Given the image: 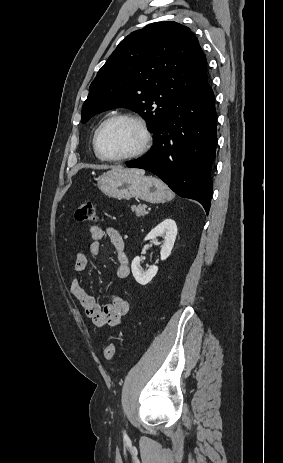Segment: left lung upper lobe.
<instances>
[{
    "label": "left lung upper lobe",
    "mask_w": 283,
    "mask_h": 463,
    "mask_svg": "<svg viewBox=\"0 0 283 463\" xmlns=\"http://www.w3.org/2000/svg\"><path fill=\"white\" fill-rule=\"evenodd\" d=\"M207 81L206 57L192 31L157 22L125 37L98 71L82 107L81 123L115 107L148 121L151 132L173 107Z\"/></svg>",
    "instance_id": "5c2ea615"
}]
</instances>
